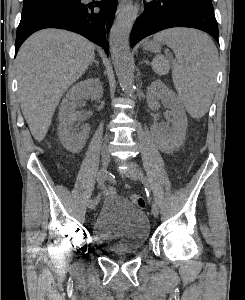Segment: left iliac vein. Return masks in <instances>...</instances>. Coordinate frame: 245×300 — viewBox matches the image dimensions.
Masks as SVG:
<instances>
[{"label": "left iliac vein", "instance_id": "obj_1", "mask_svg": "<svg viewBox=\"0 0 245 300\" xmlns=\"http://www.w3.org/2000/svg\"><path fill=\"white\" fill-rule=\"evenodd\" d=\"M128 166H129L128 176L130 179H132V180L142 179L143 175H142V172L140 171V169L138 168L137 164H135L133 162H128ZM152 214H153V216L158 217L159 210H158V206L156 205V203L152 204Z\"/></svg>", "mask_w": 245, "mask_h": 300}]
</instances>
